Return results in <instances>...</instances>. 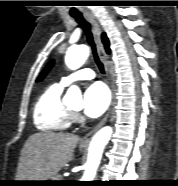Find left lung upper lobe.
Wrapping results in <instances>:
<instances>
[{
    "label": "left lung upper lobe",
    "mask_w": 178,
    "mask_h": 186,
    "mask_svg": "<svg viewBox=\"0 0 178 186\" xmlns=\"http://www.w3.org/2000/svg\"><path fill=\"white\" fill-rule=\"evenodd\" d=\"M53 63H54V61L52 60L47 64L46 68L43 70V72L37 78L38 82L41 81L46 76V74L49 72V70L53 67Z\"/></svg>",
    "instance_id": "obj_1"
}]
</instances>
